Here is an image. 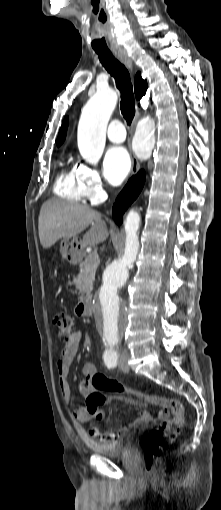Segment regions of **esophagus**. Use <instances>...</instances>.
I'll list each match as a JSON object with an SVG mask.
<instances>
[{"label": "esophagus", "mask_w": 221, "mask_h": 510, "mask_svg": "<svg viewBox=\"0 0 221 510\" xmlns=\"http://www.w3.org/2000/svg\"><path fill=\"white\" fill-rule=\"evenodd\" d=\"M117 57L120 59V61L132 72L133 71V66H132V61L130 59V57L128 56V54L126 52H120L117 54ZM139 116V112H138V109L136 111V120ZM131 161H132V167H131V174L133 176H135L139 169H140V164H139V161L138 159L136 158V156L134 154H131Z\"/></svg>", "instance_id": "esophagus-1"}]
</instances>
